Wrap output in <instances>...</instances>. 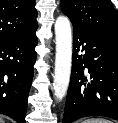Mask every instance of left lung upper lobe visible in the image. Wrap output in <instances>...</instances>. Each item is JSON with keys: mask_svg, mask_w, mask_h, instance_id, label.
Returning <instances> with one entry per match:
<instances>
[{"mask_svg": "<svg viewBox=\"0 0 118 123\" xmlns=\"http://www.w3.org/2000/svg\"><path fill=\"white\" fill-rule=\"evenodd\" d=\"M60 5L73 29L118 41V12L110 0H61Z\"/></svg>", "mask_w": 118, "mask_h": 123, "instance_id": "left-lung-upper-lobe-1", "label": "left lung upper lobe"}]
</instances>
